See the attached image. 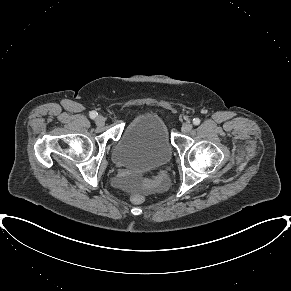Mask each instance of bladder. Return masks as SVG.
Listing matches in <instances>:
<instances>
[{
	"mask_svg": "<svg viewBox=\"0 0 291 291\" xmlns=\"http://www.w3.org/2000/svg\"><path fill=\"white\" fill-rule=\"evenodd\" d=\"M172 153L165 123L146 113L126 125L112 150V160L120 167L148 170L167 165Z\"/></svg>",
	"mask_w": 291,
	"mask_h": 291,
	"instance_id": "1",
	"label": "bladder"
}]
</instances>
